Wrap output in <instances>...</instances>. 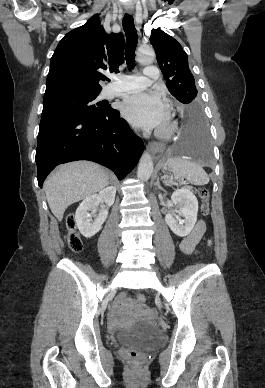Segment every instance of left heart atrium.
Wrapping results in <instances>:
<instances>
[{
    "instance_id": "left-heart-atrium-1",
    "label": "left heart atrium",
    "mask_w": 265,
    "mask_h": 388,
    "mask_svg": "<svg viewBox=\"0 0 265 388\" xmlns=\"http://www.w3.org/2000/svg\"><path fill=\"white\" fill-rule=\"evenodd\" d=\"M123 115L132 123L144 127H155L166 121L168 107L155 93L142 91L130 95L122 105Z\"/></svg>"
}]
</instances>
